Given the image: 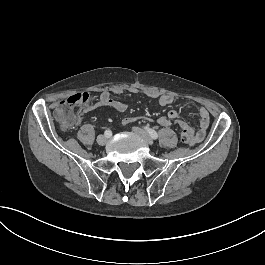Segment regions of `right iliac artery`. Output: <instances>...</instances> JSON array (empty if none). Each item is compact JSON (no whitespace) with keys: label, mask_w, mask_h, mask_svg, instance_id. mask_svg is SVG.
Wrapping results in <instances>:
<instances>
[{"label":"right iliac artery","mask_w":265,"mask_h":265,"mask_svg":"<svg viewBox=\"0 0 265 265\" xmlns=\"http://www.w3.org/2000/svg\"><path fill=\"white\" fill-rule=\"evenodd\" d=\"M104 135H105L107 138H109V137L112 136V132H111L110 130H106L105 133H104Z\"/></svg>","instance_id":"right-iliac-artery-1"}]
</instances>
